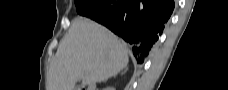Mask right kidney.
Masks as SVG:
<instances>
[{
	"instance_id": "ca27d5eb",
	"label": "right kidney",
	"mask_w": 228,
	"mask_h": 90,
	"mask_svg": "<svg viewBox=\"0 0 228 90\" xmlns=\"http://www.w3.org/2000/svg\"><path fill=\"white\" fill-rule=\"evenodd\" d=\"M105 90H114V88H105Z\"/></svg>"
}]
</instances>
